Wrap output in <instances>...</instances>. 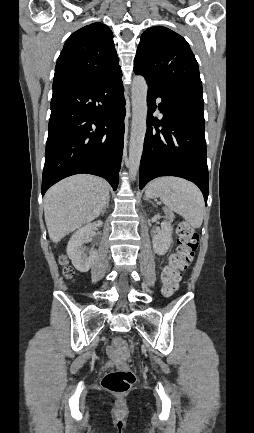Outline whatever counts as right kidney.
Returning <instances> with one entry per match:
<instances>
[{"instance_id":"obj_1","label":"right kidney","mask_w":254,"mask_h":433,"mask_svg":"<svg viewBox=\"0 0 254 433\" xmlns=\"http://www.w3.org/2000/svg\"><path fill=\"white\" fill-rule=\"evenodd\" d=\"M102 224V221L99 220L85 225L77 230L68 242L67 255L74 267L80 272H87L95 260L97 251L94 249L87 250L84 244L91 240L94 227H100Z\"/></svg>"}]
</instances>
